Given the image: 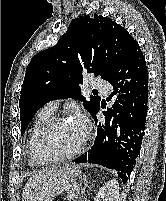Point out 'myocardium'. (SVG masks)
Listing matches in <instances>:
<instances>
[{
	"instance_id": "obj_1",
	"label": "myocardium",
	"mask_w": 166,
	"mask_h": 201,
	"mask_svg": "<svg viewBox=\"0 0 166 201\" xmlns=\"http://www.w3.org/2000/svg\"><path fill=\"white\" fill-rule=\"evenodd\" d=\"M66 119H67L66 116L54 115L48 118L47 120H45L43 123H41L40 126L37 128L34 135V139H33L32 153H33L34 160L38 165H45V164H50L54 162L69 160L76 157L82 152L84 148L85 140L82 141V143L79 145L77 149L66 154H55L52 152L45 153L42 150V138L44 134L49 129H51L54 125L62 121H66Z\"/></svg>"
}]
</instances>
